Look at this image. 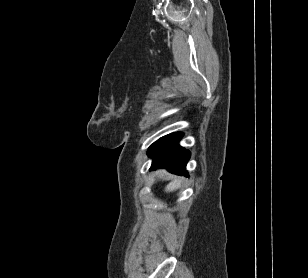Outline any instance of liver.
I'll list each match as a JSON object with an SVG mask.
<instances>
[{"label":"liver","instance_id":"liver-1","mask_svg":"<svg viewBox=\"0 0 308 278\" xmlns=\"http://www.w3.org/2000/svg\"><path fill=\"white\" fill-rule=\"evenodd\" d=\"M164 175H166V172L165 171H160L159 172V176L160 177H163ZM181 185V179H175L173 180L171 183H169L166 188H165V191L166 192H172V191H175L177 190Z\"/></svg>","mask_w":308,"mask_h":278}]
</instances>
